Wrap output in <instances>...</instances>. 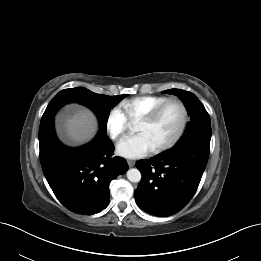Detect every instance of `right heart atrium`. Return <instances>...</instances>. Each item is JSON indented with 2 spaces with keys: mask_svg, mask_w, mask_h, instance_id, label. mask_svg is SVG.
Here are the masks:
<instances>
[{
  "mask_svg": "<svg viewBox=\"0 0 261 261\" xmlns=\"http://www.w3.org/2000/svg\"><path fill=\"white\" fill-rule=\"evenodd\" d=\"M105 124L109 136L114 140L121 137L129 127V121L119 107H114L108 112Z\"/></svg>",
  "mask_w": 261,
  "mask_h": 261,
  "instance_id": "right-heart-atrium-1",
  "label": "right heart atrium"
}]
</instances>
